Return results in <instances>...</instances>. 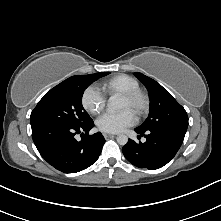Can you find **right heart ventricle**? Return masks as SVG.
Masks as SVG:
<instances>
[{
  "label": "right heart ventricle",
  "instance_id": "e07e8e85",
  "mask_svg": "<svg viewBox=\"0 0 221 221\" xmlns=\"http://www.w3.org/2000/svg\"><path fill=\"white\" fill-rule=\"evenodd\" d=\"M103 92L109 96L122 95L140 89L138 80L126 74L116 75L102 84Z\"/></svg>",
  "mask_w": 221,
  "mask_h": 221
}]
</instances>
